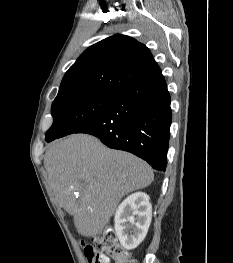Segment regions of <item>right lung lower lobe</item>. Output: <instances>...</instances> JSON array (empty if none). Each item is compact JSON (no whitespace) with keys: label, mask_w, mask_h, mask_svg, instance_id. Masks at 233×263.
<instances>
[{"label":"right lung lower lobe","mask_w":233,"mask_h":263,"mask_svg":"<svg viewBox=\"0 0 233 263\" xmlns=\"http://www.w3.org/2000/svg\"><path fill=\"white\" fill-rule=\"evenodd\" d=\"M170 94L161 74L117 93L107 109L75 133L98 137L165 171L170 138Z\"/></svg>","instance_id":"98d812e1"}]
</instances>
